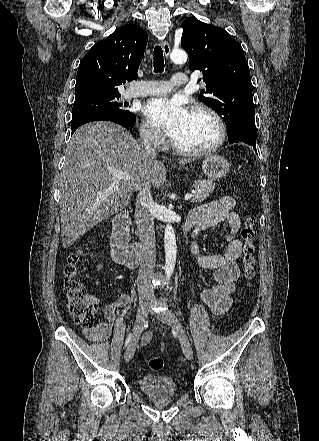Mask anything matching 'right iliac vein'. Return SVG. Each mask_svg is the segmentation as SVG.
Segmentation results:
<instances>
[{
	"label": "right iliac vein",
	"instance_id": "63e3f726",
	"mask_svg": "<svg viewBox=\"0 0 319 441\" xmlns=\"http://www.w3.org/2000/svg\"><path fill=\"white\" fill-rule=\"evenodd\" d=\"M149 306H150V302L148 300H143L139 304L137 315H136L133 336L131 338V341H130V343L126 349L125 355H124L126 362L130 361L134 356L136 345H137L139 336L142 332L143 324H144L146 317H147V314H148Z\"/></svg>",
	"mask_w": 319,
	"mask_h": 441
}]
</instances>
